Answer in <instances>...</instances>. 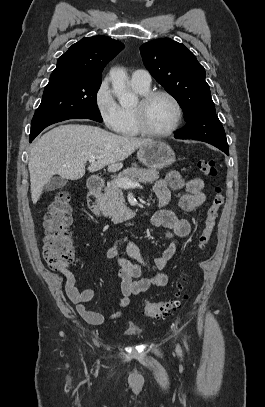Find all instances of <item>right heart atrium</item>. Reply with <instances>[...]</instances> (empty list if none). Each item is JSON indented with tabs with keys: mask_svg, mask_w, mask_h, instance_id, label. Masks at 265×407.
Masks as SVG:
<instances>
[{
	"mask_svg": "<svg viewBox=\"0 0 265 407\" xmlns=\"http://www.w3.org/2000/svg\"><path fill=\"white\" fill-rule=\"evenodd\" d=\"M94 104L104 125L116 131L121 123V108L114 98L108 80H103L95 90Z\"/></svg>",
	"mask_w": 265,
	"mask_h": 407,
	"instance_id": "d8ad5b80",
	"label": "right heart atrium"
}]
</instances>
